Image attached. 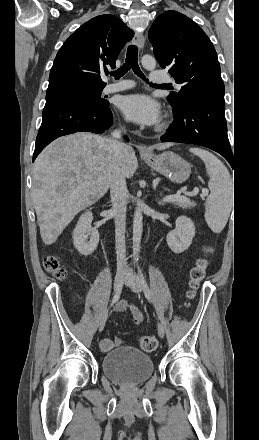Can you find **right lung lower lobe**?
Segmentation results:
<instances>
[{"mask_svg": "<svg viewBox=\"0 0 259 440\" xmlns=\"http://www.w3.org/2000/svg\"><path fill=\"white\" fill-rule=\"evenodd\" d=\"M108 106L109 102L99 104L84 98L47 101L42 112V124L36 138L33 161L50 142L60 136L79 131L103 133L113 121Z\"/></svg>", "mask_w": 259, "mask_h": 440, "instance_id": "right-lung-lower-lobe-1", "label": "right lung lower lobe"}]
</instances>
